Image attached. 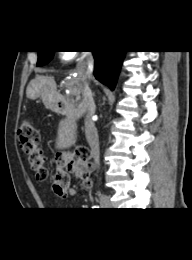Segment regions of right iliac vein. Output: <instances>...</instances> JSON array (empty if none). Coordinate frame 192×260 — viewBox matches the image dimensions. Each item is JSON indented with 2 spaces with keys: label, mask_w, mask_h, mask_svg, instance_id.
Listing matches in <instances>:
<instances>
[{
  "label": "right iliac vein",
  "mask_w": 192,
  "mask_h": 260,
  "mask_svg": "<svg viewBox=\"0 0 192 260\" xmlns=\"http://www.w3.org/2000/svg\"><path fill=\"white\" fill-rule=\"evenodd\" d=\"M100 205L102 208H111V202L109 198L104 194L100 195Z\"/></svg>",
  "instance_id": "obj_1"
}]
</instances>
